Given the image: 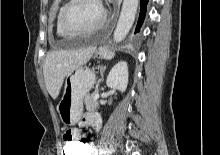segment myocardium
I'll return each mask as SVG.
<instances>
[{"mask_svg":"<svg viewBox=\"0 0 220 155\" xmlns=\"http://www.w3.org/2000/svg\"><path fill=\"white\" fill-rule=\"evenodd\" d=\"M79 0H68L60 9L59 12V17H58V22H59V26L60 28L67 34L70 35H81V34H88V33H92L95 32L99 29H101L105 23H106V13L104 12V16L103 19L95 26L90 27V28H75L70 26L67 21H66V13L67 11L70 9V7L72 5H74L76 2H78Z\"/></svg>","mask_w":220,"mask_h":155,"instance_id":"f54148a6","label":"myocardium"}]
</instances>
